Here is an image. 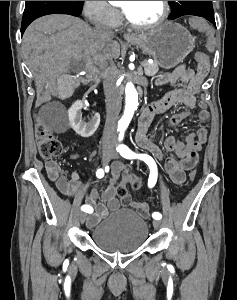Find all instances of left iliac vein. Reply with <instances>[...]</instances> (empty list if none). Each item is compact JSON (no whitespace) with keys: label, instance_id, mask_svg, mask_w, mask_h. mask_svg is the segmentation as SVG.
Returning a JSON list of instances; mask_svg holds the SVG:
<instances>
[{"label":"left iliac vein","instance_id":"1","mask_svg":"<svg viewBox=\"0 0 237 300\" xmlns=\"http://www.w3.org/2000/svg\"><path fill=\"white\" fill-rule=\"evenodd\" d=\"M118 157V154L116 151H114L111 155V158L116 159ZM153 225L155 229H159L161 227V221L159 220H154Z\"/></svg>","mask_w":237,"mask_h":300}]
</instances>
